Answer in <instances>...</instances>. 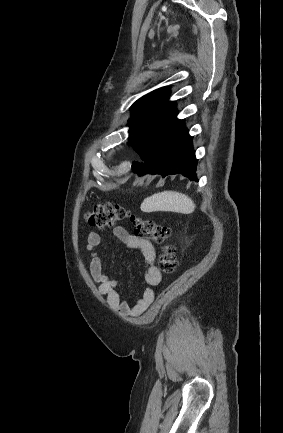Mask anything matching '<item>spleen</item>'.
<instances>
[{
	"label": "spleen",
	"instance_id": "1",
	"mask_svg": "<svg viewBox=\"0 0 283 433\" xmlns=\"http://www.w3.org/2000/svg\"><path fill=\"white\" fill-rule=\"evenodd\" d=\"M143 212H153V210H172V212H184L190 214L195 210V204L187 194L176 192V190H164L157 192L148 198H144L141 204Z\"/></svg>",
	"mask_w": 283,
	"mask_h": 433
}]
</instances>
